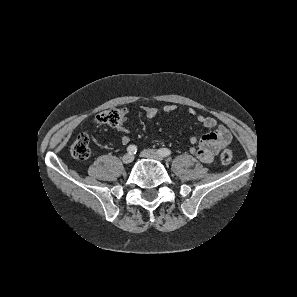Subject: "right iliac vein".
Listing matches in <instances>:
<instances>
[{
    "label": "right iliac vein",
    "instance_id": "obj_1",
    "mask_svg": "<svg viewBox=\"0 0 297 297\" xmlns=\"http://www.w3.org/2000/svg\"><path fill=\"white\" fill-rule=\"evenodd\" d=\"M133 160H134V157H133L131 154H125V155L122 157V162L125 163V164H129V163H131Z\"/></svg>",
    "mask_w": 297,
    "mask_h": 297
}]
</instances>
